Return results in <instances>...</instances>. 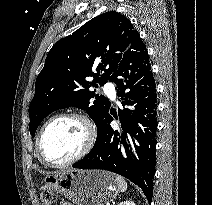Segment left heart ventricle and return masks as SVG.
<instances>
[{"label":"left heart ventricle","mask_w":212,"mask_h":205,"mask_svg":"<svg viewBox=\"0 0 212 205\" xmlns=\"http://www.w3.org/2000/svg\"><path fill=\"white\" fill-rule=\"evenodd\" d=\"M86 141L83 124L76 119H61L54 122L45 132L42 149L45 157L61 163L75 156Z\"/></svg>","instance_id":"obj_1"}]
</instances>
